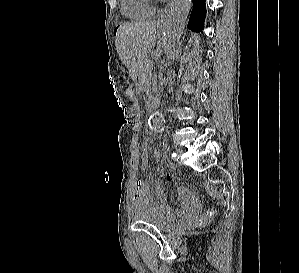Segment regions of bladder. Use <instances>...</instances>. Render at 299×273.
<instances>
[{"instance_id": "31cf9c89", "label": "bladder", "mask_w": 299, "mask_h": 273, "mask_svg": "<svg viewBox=\"0 0 299 273\" xmlns=\"http://www.w3.org/2000/svg\"><path fill=\"white\" fill-rule=\"evenodd\" d=\"M134 220L139 223L150 224L159 229L171 225L172 220L158 214L154 209L135 210Z\"/></svg>"}]
</instances>
